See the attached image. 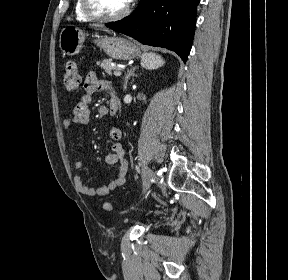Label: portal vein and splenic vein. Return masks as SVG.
Instances as JSON below:
<instances>
[{"mask_svg": "<svg viewBox=\"0 0 288 280\" xmlns=\"http://www.w3.org/2000/svg\"><path fill=\"white\" fill-rule=\"evenodd\" d=\"M121 71H122V69L119 67V68H117L115 71H114V75L115 76H120L121 75Z\"/></svg>", "mask_w": 288, "mask_h": 280, "instance_id": "1", "label": "portal vein and splenic vein"}]
</instances>
